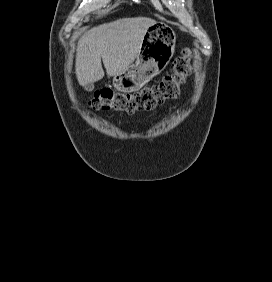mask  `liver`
<instances>
[{"instance_id":"obj_1","label":"liver","mask_w":272,"mask_h":282,"mask_svg":"<svg viewBox=\"0 0 272 282\" xmlns=\"http://www.w3.org/2000/svg\"><path fill=\"white\" fill-rule=\"evenodd\" d=\"M156 21L147 17L122 18L96 26L79 40L75 70L81 86L125 71L136 59L148 27ZM94 88V86H93Z\"/></svg>"}]
</instances>
